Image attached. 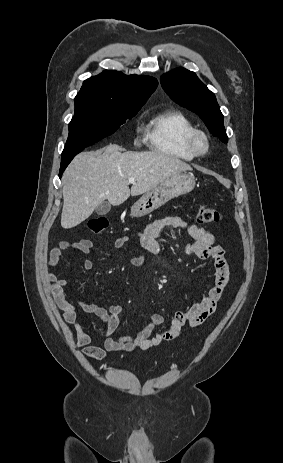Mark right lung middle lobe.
<instances>
[{
	"label": "right lung middle lobe",
	"mask_w": 283,
	"mask_h": 463,
	"mask_svg": "<svg viewBox=\"0 0 283 463\" xmlns=\"http://www.w3.org/2000/svg\"><path fill=\"white\" fill-rule=\"evenodd\" d=\"M74 101L75 113L62 154L84 149L114 133L144 105L83 96H76Z\"/></svg>",
	"instance_id": "obj_1"
}]
</instances>
